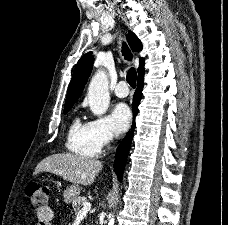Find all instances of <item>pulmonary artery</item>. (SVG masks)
Instances as JSON below:
<instances>
[{
	"instance_id": "pulmonary-artery-1",
	"label": "pulmonary artery",
	"mask_w": 228,
	"mask_h": 225,
	"mask_svg": "<svg viewBox=\"0 0 228 225\" xmlns=\"http://www.w3.org/2000/svg\"><path fill=\"white\" fill-rule=\"evenodd\" d=\"M114 93L119 98L127 97L129 94V88H128L126 82H124V81L119 82L114 89Z\"/></svg>"
}]
</instances>
